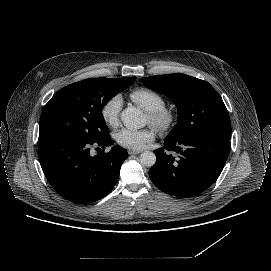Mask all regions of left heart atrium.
<instances>
[{
    "label": "left heart atrium",
    "mask_w": 271,
    "mask_h": 271,
    "mask_svg": "<svg viewBox=\"0 0 271 271\" xmlns=\"http://www.w3.org/2000/svg\"><path fill=\"white\" fill-rule=\"evenodd\" d=\"M154 139L153 132L148 128L128 129L124 128L115 134L116 142L130 150H141Z\"/></svg>",
    "instance_id": "left-heart-atrium-1"
}]
</instances>
